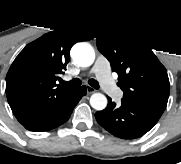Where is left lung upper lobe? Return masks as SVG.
<instances>
[{
  "instance_id": "obj_1",
  "label": "left lung upper lobe",
  "mask_w": 181,
  "mask_h": 164,
  "mask_svg": "<svg viewBox=\"0 0 181 164\" xmlns=\"http://www.w3.org/2000/svg\"><path fill=\"white\" fill-rule=\"evenodd\" d=\"M97 48L118 73L117 85L123 99L164 112L169 98V79L165 67L151 48L124 32L95 30Z\"/></svg>"
}]
</instances>
